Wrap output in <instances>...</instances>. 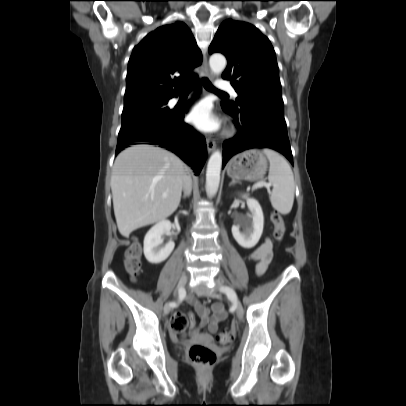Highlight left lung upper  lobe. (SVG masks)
<instances>
[{
	"label": "left lung upper lobe",
	"instance_id": "left-lung-upper-lobe-1",
	"mask_svg": "<svg viewBox=\"0 0 406 406\" xmlns=\"http://www.w3.org/2000/svg\"><path fill=\"white\" fill-rule=\"evenodd\" d=\"M214 52L226 56L223 78L238 93L236 103L222 102V107L234 113L256 105L284 111L275 51L259 29L246 22L224 21L209 48L210 54Z\"/></svg>",
	"mask_w": 406,
	"mask_h": 406
}]
</instances>
